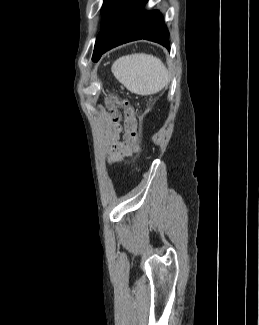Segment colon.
Masks as SVG:
<instances>
[{"instance_id":"colon-1","label":"colon","mask_w":259,"mask_h":325,"mask_svg":"<svg viewBox=\"0 0 259 325\" xmlns=\"http://www.w3.org/2000/svg\"><path fill=\"white\" fill-rule=\"evenodd\" d=\"M120 106L123 111V124L125 128L124 142L130 146L132 149L137 148L138 143V123L132 106L128 101H122ZM110 129H117V122L109 123Z\"/></svg>"}]
</instances>
